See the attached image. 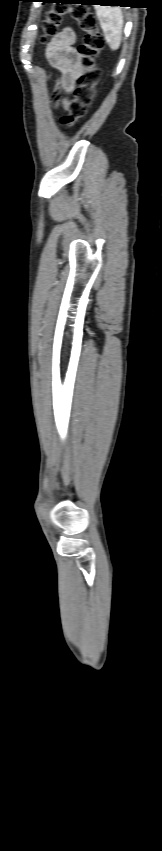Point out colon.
<instances>
[{"label": "colon", "mask_w": 162, "mask_h": 851, "mask_svg": "<svg viewBox=\"0 0 162 851\" xmlns=\"http://www.w3.org/2000/svg\"><path fill=\"white\" fill-rule=\"evenodd\" d=\"M70 16L83 33L78 53L81 57L82 73L76 81L71 99L68 101L67 114L61 118V124L70 128L78 123L87 112L94 98L95 86L100 78L96 59L105 46L94 14L79 5L57 4L46 13L42 24V40L55 36L64 16Z\"/></svg>", "instance_id": "5ec220e1"}]
</instances>
